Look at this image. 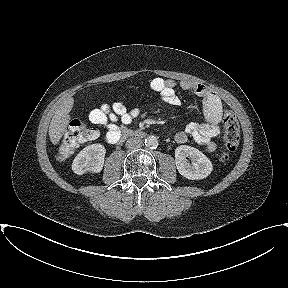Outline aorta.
Returning <instances> with one entry per match:
<instances>
[{"label": "aorta", "instance_id": "762f6f07", "mask_svg": "<svg viewBox=\"0 0 288 288\" xmlns=\"http://www.w3.org/2000/svg\"><path fill=\"white\" fill-rule=\"evenodd\" d=\"M145 146L151 149L157 148L159 145L158 139L155 136H148L144 140Z\"/></svg>", "mask_w": 288, "mask_h": 288}]
</instances>
